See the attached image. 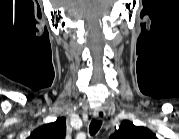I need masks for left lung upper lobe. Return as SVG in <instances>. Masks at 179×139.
<instances>
[{"mask_svg":"<svg viewBox=\"0 0 179 139\" xmlns=\"http://www.w3.org/2000/svg\"><path fill=\"white\" fill-rule=\"evenodd\" d=\"M154 138L153 133L145 127L135 126L130 121H123L119 130H116L113 139H147Z\"/></svg>","mask_w":179,"mask_h":139,"instance_id":"1","label":"left lung upper lobe"}]
</instances>
